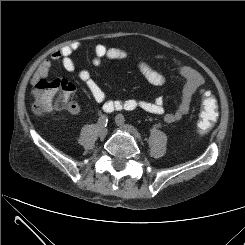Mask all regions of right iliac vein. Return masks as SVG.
I'll list each match as a JSON object with an SVG mask.
<instances>
[{"mask_svg": "<svg viewBox=\"0 0 245 245\" xmlns=\"http://www.w3.org/2000/svg\"><path fill=\"white\" fill-rule=\"evenodd\" d=\"M108 133V129L107 127L103 126V125H100L99 128H98V135L100 137H105Z\"/></svg>", "mask_w": 245, "mask_h": 245, "instance_id": "right-iliac-vein-1", "label": "right iliac vein"}]
</instances>
